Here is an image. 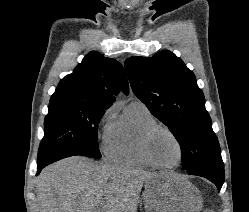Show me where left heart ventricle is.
Returning <instances> with one entry per match:
<instances>
[{
	"instance_id": "left-heart-ventricle-1",
	"label": "left heart ventricle",
	"mask_w": 249,
	"mask_h": 212,
	"mask_svg": "<svg viewBox=\"0 0 249 212\" xmlns=\"http://www.w3.org/2000/svg\"><path fill=\"white\" fill-rule=\"evenodd\" d=\"M151 152L157 162L164 165L175 164L179 159V149L173 138L158 132L151 141Z\"/></svg>"
}]
</instances>
